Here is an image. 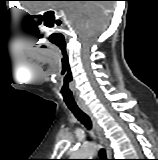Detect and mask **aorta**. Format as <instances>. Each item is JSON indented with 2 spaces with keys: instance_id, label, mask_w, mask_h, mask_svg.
Segmentation results:
<instances>
[{
  "instance_id": "762f6f07",
  "label": "aorta",
  "mask_w": 158,
  "mask_h": 160,
  "mask_svg": "<svg viewBox=\"0 0 158 160\" xmlns=\"http://www.w3.org/2000/svg\"><path fill=\"white\" fill-rule=\"evenodd\" d=\"M95 153V145L92 143H87L81 145L72 154V159H91Z\"/></svg>"
}]
</instances>
